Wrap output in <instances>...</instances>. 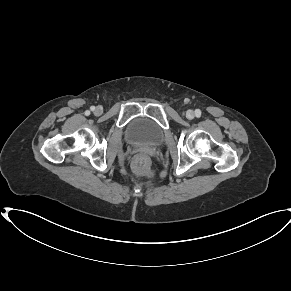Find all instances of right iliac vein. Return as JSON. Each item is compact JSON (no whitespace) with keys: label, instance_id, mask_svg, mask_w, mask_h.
<instances>
[{"label":"right iliac vein","instance_id":"63e3f726","mask_svg":"<svg viewBox=\"0 0 291 291\" xmlns=\"http://www.w3.org/2000/svg\"><path fill=\"white\" fill-rule=\"evenodd\" d=\"M94 113L96 115H100L102 113V109L100 107H97L95 110H94Z\"/></svg>","mask_w":291,"mask_h":291}]
</instances>
